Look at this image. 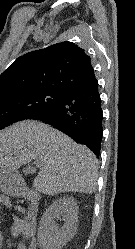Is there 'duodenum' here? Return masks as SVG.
<instances>
[{"label":"duodenum","mask_w":135,"mask_h":249,"mask_svg":"<svg viewBox=\"0 0 135 249\" xmlns=\"http://www.w3.org/2000/svg\"><path fill=\"white\" fill-rule=\"evenodd\" d=\"M22 193L25 197V199L30 203L29 204V208L33 209L37 212L38 210V206H39V201H40V197L39 194L32 188H24L22 190Z\"/></svg>","instance_id":"1"}]
</instances>
